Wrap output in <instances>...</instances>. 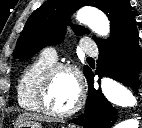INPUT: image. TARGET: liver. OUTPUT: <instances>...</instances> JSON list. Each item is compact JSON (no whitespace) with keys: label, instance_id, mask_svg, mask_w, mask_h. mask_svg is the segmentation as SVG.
<instances>
[{"label":"liver","instance_id":"1","mask_svg":"<svg viewBox=\"0 0 142 128\" xmlns=\"http://www.w3.org/2000/svg\"><path fill=\"white\" fill-rule=\"evenodd\" d=\"M25 119L43 121V120H46L47 118L42 115H38L37 113H23L22 115L18 116L17 122H20Z\"/></svg>","mask_w":142,"mask_h":128}]
</instances>
